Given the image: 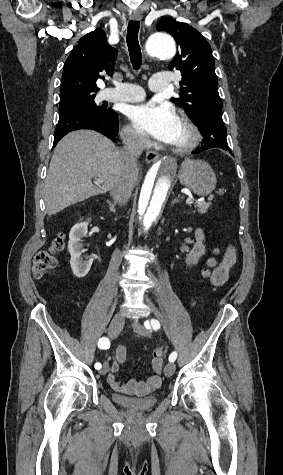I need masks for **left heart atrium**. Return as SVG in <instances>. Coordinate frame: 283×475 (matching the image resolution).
I'll list each match as a JSON object with an SVG mask.
<instances>
[{"instance_id": "left-heart-atrium-1", "label": "left heart atrium", "mask_w": 283, "mask_h": 475, "mask_svg": "<svg viewBox=\"0 0 283 475\" xmlns=\"http://www.w3.org/2000/svg\"><path fill=\"white\" fill-rule=\"evenodd\" d=\"M128 118L139 132L154 139L171 143L177 135L179 118L167 103L146 102L133 106Z\"/></svg>"}]
</instances>
